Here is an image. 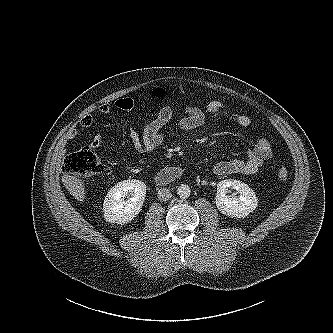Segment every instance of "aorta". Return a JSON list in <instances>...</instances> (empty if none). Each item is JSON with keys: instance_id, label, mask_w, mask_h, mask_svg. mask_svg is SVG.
<instances>
[{"instance_id": "762f6f07", "label": "aorta", "mask_w": 333, "mask_h": 333, "mask_svg": "<svg viewBox=\"0 0 333 333\" xmlns=\"http://www.w3.org/2000/svg\"><path fill=\"white\" fill-rule=\"evenodd\" d=\"M190 193H191V191H190V188L188 185L182 184L177 189V194L180 198H184V199L188 198L190 196Z\"/></svg>"}]
</instances>
